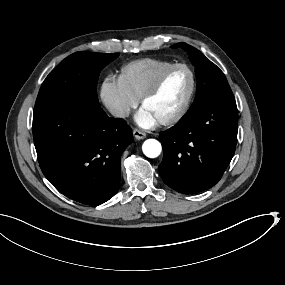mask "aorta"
<instances>
[{"label": "aorta", "instance_id": "762f6f07", "mask_svg": "<svg viewBox=\"0 0 285 285\" xmlns=\"http://www.w3.org/2000/svg\"><path fill=\"white\" fill-rule=\"evenodd\" d=\"M162 152L161 144L155 139L146 140L143 143V153L149 158H156Z\"/></svg>", "mask_w": 285, "mask_h": 285}]
</instances>
